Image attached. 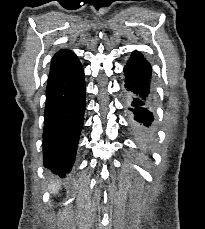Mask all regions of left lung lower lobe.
Returning <instances> with one entry per match:
<instances>
[{
	"instance_id": "obj_1",
	"label": "left lung lower lobe",
	"mask_w": 205,
	"mask_h": 229,
	"mask_svg": "<svg viewBox=\"0 0 205 229\" xmlns=\"http://www.w3.org/2000/svg\"><path fill=\"white\" fill-rule=\"evenodd\" d=\"M124 101L131 129L143 145L154 137L153 87L150 63L134 51L125 68Z\"/></svg>"
}]
</instances>
